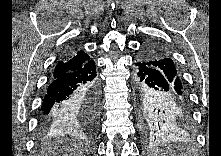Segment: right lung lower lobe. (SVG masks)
I'll use <instances>...</instances> for the list:
<instances>
[{"instance_id":"obj_1","label":"right lung lower lobe","mask_w":221,"mask_h":156,"mask_svg":"<svg viewBox=\"0 0 221 156\" xmlns=\"http://www.w3.org/2000/svg\"><path fill=\"white\" fill-rule=\"evenodd\" d=\"M96 66L90 60L81 68L53 77L38 120L42 134L96 125L100 97Z\"/></svg>"}]
</instances>
